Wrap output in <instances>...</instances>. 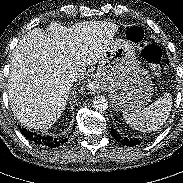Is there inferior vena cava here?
<instances>
[{
    "label": "inferior vena cava",
    "instance_id": "602c4592",
    "mask_svg": "<svg viewBox=\"0 0 183 183\" xmlns=\"http://www.w3.org/2000/svg\"><path fill=\"white\" fill-rule=\"evenodd\" d=\"M69 79H71L72 81H76L79 78V73L77 70H71L69 72Z\"/></svg>",
    "mask_w": 183,
    "mask_h": 183
}]
</instances>
